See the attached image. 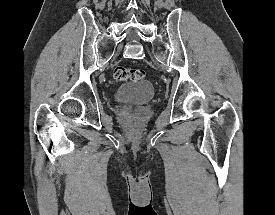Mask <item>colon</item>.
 Instances as JSON below:
<instances>
[{"label":"colon","mask_w":275,"mask_h":215,"mask_svg":"<svg viewBox=\"0 0 275 215\" xmlns=\"http://www.w3.org/2000/svg\"><path fill=\"white\" fill-rule=\"evenodd\" d=\"M145 72L142 69H132L124 66L114 68L113 77L117 82H133L143 79Z\"/></svg>","instance_id":"5ec220e1"}]
</instances>
